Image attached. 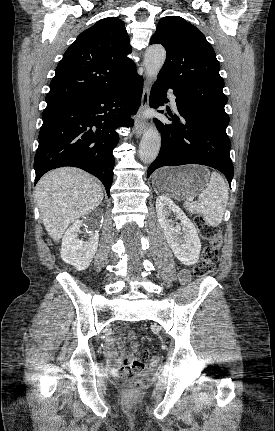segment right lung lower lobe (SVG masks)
<instances>
[{
	"label": "right lung lower lobe",
	"instance_id": "1",
	"mask_svg": "<svg viewBox=\"0 0 275 431\" xmlns=\"http://www.w3.org/2000/svg\"><path fill=\"white\" fill-rule=\"evenodd\" d=\"M142 77L135 75L122 86L100 94L47 104L35 155V183L47 171L74 166L101 180L106 192L112 185L115 131L131 126L130 115L140 106Z\"/></svg>",
	"mask_w": 275,
	"mask_h": 431
}]
</instances>
